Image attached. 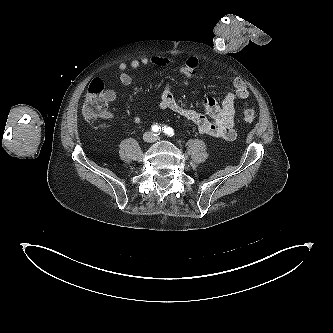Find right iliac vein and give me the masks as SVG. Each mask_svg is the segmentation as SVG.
I'll list each match as a JSON object with an SVG mask.
<instances>
[{
    "mask_svg": "<svg viewBox=\"0 0 333 333\" xmlns=\"http://www.w3.org/2000/svg\"><path fill=\"white\" fill-rule=\"evenodd\" d=\"M151 138H152V135H151L150 133H146V134L144 135V140H145V141H149Z\"/></svg>",
    "mask_w": 333,
    "mask_h": 333,
    "instance_id": "63e3f726",
    "label": "right iliac vein"
}]
</instances>
